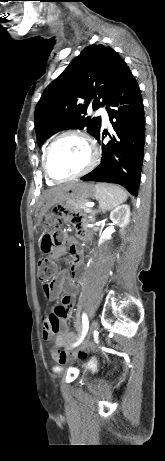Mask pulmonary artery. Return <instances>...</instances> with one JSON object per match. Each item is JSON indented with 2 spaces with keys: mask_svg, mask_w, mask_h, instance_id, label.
I'll use <instances>...</instances> for the list:
<instances>
[{
  "mask_svg": "<svg viewBox=\"0 0 165 461\" xmlns=\"http://www.w3.org/2000/svg\"><path fill=\"white\" fill-rule=\"evenodd\" d=\"M97 113L102 116V121L105 125L109 124L108 114L103 108L98 109Z\"/></svg>",
  "mask_w": 165,
  "mask_h": 461,
  "instance_id": "e3ab8cb5",
  "label": "pulmonary artery"
}]
</instances>
